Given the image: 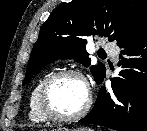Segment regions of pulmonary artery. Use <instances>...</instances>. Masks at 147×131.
<instances>
[{"label": "pulmonary artery", "mask_w": 147, "mask_h": 131, "mask_svg": "<svg viewBox=\"0 0 147 131\" xmlns=\"http://www.w3.org/2000/svg\"><path fill=\"white\" fill-rule=\"evenodd\" d=\"M104 50L108 54H110L112 57H116L117 52H118L117 46H115L114 44H110V43L104 45Z\"/></svg>", "instance_id": "obj_1"}]
</instances>
